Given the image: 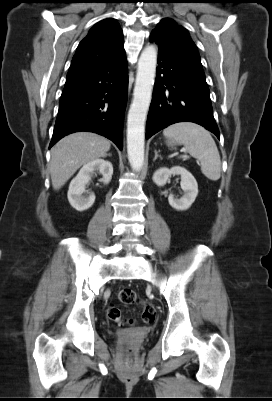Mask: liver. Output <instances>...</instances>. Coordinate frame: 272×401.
<instances>
[{
    "label": "liver",
    "mask_w": 272,
    "mask_h": 401,
    "mask_svg": "<svg viewBox=\"0 0 272 401\" xmlns=\"http://www.w3.org/2000/svg\"><path fill=\"white\" fill-rule=\"evenodd\" d=\"M110 146L108 139L91 132H76L62 138L51 149L53 188L59 190L82 165L105 157Z\"/></svg>",
    "instance_id": "obj_1"
}]
</instances>
